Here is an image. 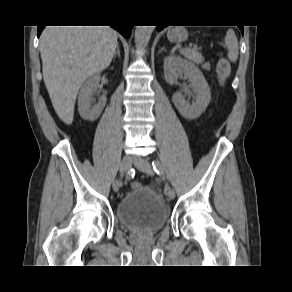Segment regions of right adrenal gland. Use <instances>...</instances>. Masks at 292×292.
<instances>
[{
    "instance_id": "1",
    "label": "right adrenal gland",
    "mask_w": 292,
    "mask_h": 292,
    "mask_svg": "<svg viewBox=\"0 0 292 292\" xmlns=\"http://www.w3.org/2000/svg\"><path fill=\"white\" fill-rule=\"evenodd\" d=\"M116 56H118V57L120 58L119 44H117V50H116V52H115V54H114V59H115Z\"/></svg>"
}]
</instances>
